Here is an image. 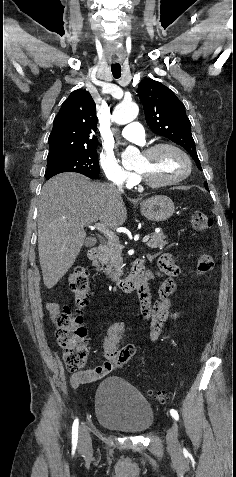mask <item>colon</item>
Masks as SVG:
<instances>
[{
  "instance_id": "5ec220e1",
  "label": "colon",
  "mask_w": 236,
  "mask_h": 477,
  "mask_svg": "<svg viewBox=\"0 0 236 477\" xmlns=\"http://www.w3.org/2000/svg\"><path fill=\"white\" fill-rule=\"evenodd\" d=\"M191 227L195 232H205L212 226L211 218L203 212H193L191 215ZM214 269V259L208 253L199 255L197 261V272L201 276L208 275ZM69 287L73 294V299L78 310L83 309L91 295L92 282L88 270L83 266H76L69 276ZM57 326V342L63 349V360L66 368L72 372L83 369L88 354L86 345V331L81 326L82 318L78 311H73L68 307L57 316L55 320ZM134 356V355H133ZM132 356V357H133ZM132 357L126 350H123L116 358L115 365L120 367L128 363ZM154 397L164 402L167 394L162 391L152 392Z\"/></svg>"
}]
</instances>
